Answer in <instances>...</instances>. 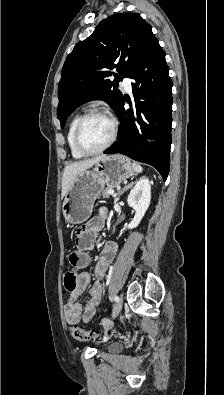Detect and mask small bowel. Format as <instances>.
<instances>
[{
	"label": "small bowel",
	"mask_w": 224,
	"mask_h": 395,
	"mask_svg": "<svg viewBox=\"0 0 224 395\" xmlns=\"http://www.w3.org/2000/svg\"><path fill=\"white\" fill-rule=\"evenodd\" d=\"M108 217L106 209L100 210L97 217L89 220L82 226L76 235L77 250L70 255V262L78 268H86L91 262L89 251L93 248L96 237ZM118 246L115 241H106L101 248L99 260L95 266L96 281L91 285V274L82 271L78 275L77 287L71 292L67 303L64 306V315L67 323L75 324L81 319L84 322L90 321L98 312L102 301V280L108 267L114 261ZM90 286L89 300L84 306L79 302L81 294Z\"/></svg>",
	"instance_id": "c3829d8e"
}]
</instances>
